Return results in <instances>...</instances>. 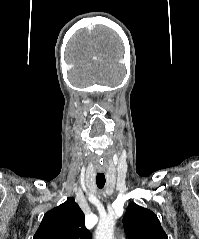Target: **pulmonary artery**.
<instances>
[{
  "label": "pulmonary artery",
  "instance_id": "e3ab8cb5",
  "mask_svg": "<svg viewBox=\"0 0 199 239\" xmlns=\"http://www.w3.org/2000/svg\"><path fill=\"white\" fill-rule=\"evenodd\" d=\"M119 239H124V237H119Z\"/></svg>",
  "mask_w": 199,
  "mask_h": 239
}]
</instances>
